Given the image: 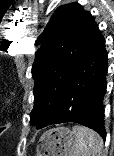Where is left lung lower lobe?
Here are the masks:
<instances>
[{
	"label": "left lung lower lobe",
	"mask_w": 114,
	"mask_h": 156,
	"mask_svg": "<svg viewBox=\"0 0 114 156\" xmlns=\"http://www.w3.org/2000/svg\"><path fill=\"white\" fill-rule=\"evenodd\" d=\"M106 71L105 40L96 25L67 83L59 110L45 126L76 122L95 130L105 140L102 100Z\"/></svg>",
	"instance_id": "left-lung-lower-lobe-1"
}]
</instances>
